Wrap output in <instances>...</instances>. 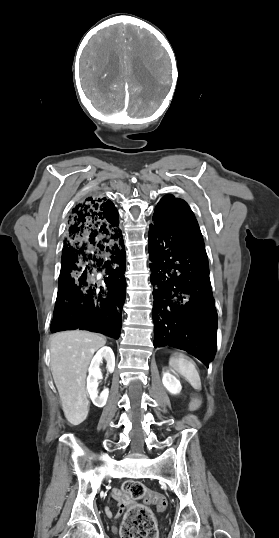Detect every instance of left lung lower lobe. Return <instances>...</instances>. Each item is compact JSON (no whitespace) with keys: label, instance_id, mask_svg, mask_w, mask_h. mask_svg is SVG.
Segmentation results:
<instances>
[{"label":"left lung lower lobe","instance_id":"obj_1","mask_svg":"<svg viewBox=\"0 0 279 538\" xmlns=\"http://www.w3.org/2000/svg\"><path fill=\"white\" fill-rule=\"evenodd\" d=\"M154 347L189 352L208 367L216 353L217 312L201 233L149 226Z\"/></svg>","mask_w":279,"mask_h":538}]
</instances>
